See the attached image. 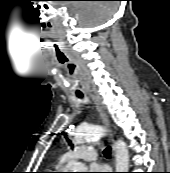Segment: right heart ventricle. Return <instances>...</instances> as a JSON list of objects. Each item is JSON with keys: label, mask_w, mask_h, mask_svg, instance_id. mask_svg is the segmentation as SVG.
<instances>
[{"label": "right heart ventricle", "mask_w": 170, "mask_h": 173, "mask_svg": "<svg viewBox=\"0 0 170 173\" xmlns=\"http://www.w3.org/2000/svg\"><path fill=\"white\" fill-rule=\"evenodd\" d=\"M64 162L63 161H61V163L60 164H63Z\"/></svg>", "instance_id": "right-heart-ventricle-1"}]
</instances>
